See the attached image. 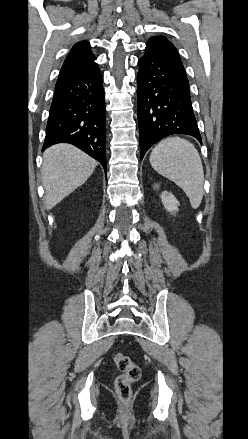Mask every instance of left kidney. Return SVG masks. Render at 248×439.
I'll list each match as a JSON object with an SVG mask.
<instances>
[{
  "label": "left kidney",
  "instance_id": "left-kidney-1",
  "mask_svg": "<svg viewBox=\"0 0 248 439\" xmlns=\"http://www.w3.org/2000/svg\"><path fill=\"white\" fill-rule=\"evenodd\" d=\"M160 197L165 209L168 212H170L171 214H175L176 212H178L179 202L172 193L163 191Z\"/></svg>",
  "mask_w": 248,
  "mask_h": 439
}]
</instances>
